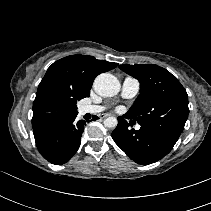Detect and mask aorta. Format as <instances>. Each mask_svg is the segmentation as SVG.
I'll use <instances>...</instances> for the list:
<instances>
[{
	"mask_svg": "<svg viewBox=\"0 0 211 211\" xmlns=\"http://www.w3.org/2000/svg\"><path fill=\"white\" fill-rule=\"evenodd\" d=\"M95 92L102 97H112L120 91V82L112 74L102 73L98 75L93 83ZM118 121L115 117H108L104 120V126L107 128H115Z\"/></svg>",
	"mask_w": 211,
	"mask_h": 211,
	"instance_id": "aorta-1",
	"label": "aorta"
}]
</instances>
